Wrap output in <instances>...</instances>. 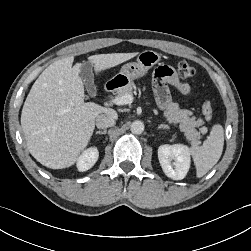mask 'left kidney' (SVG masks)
Here are the masks:
<instances>
[{"label":"left kidney","instance_id":"5707ae66","mask_svg":"<svg viewBox=\"0 0 251 251\" xmlns=\"http://www.w3.org/2000/svg\"><path fill=\"white\" fill-rule=\"evenodd\" d=\"M158 159L163 172L173 180H182L190 168V149L183 144L161 145Z\"/></svg>","mask_w":251,"mask_h":251}]
</instances>
